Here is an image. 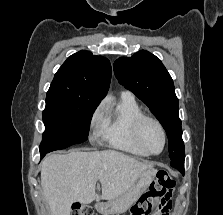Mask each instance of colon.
I'll return each instance as SVG.
<instances>
[{
	"instance_id": "5ec220e1",
	"label": "colon",
	"mask_w": 223,
	"mask_h": 215,
	"mask_svg": "<svg viewBox=\"0 0 223 215\" xmlns=\"http://www.w3.org/2000/svg\"><path fill=\"white\" fill-rule=\"evenodd\" d=\"M175 179L165 170L156 174L150 190L144 193L132 208V215H164L166 205L161 202L165 197L171 195L175 189ZM72 215H97L91 206L74 204Z\"/></svg>"
}]
</instances>
